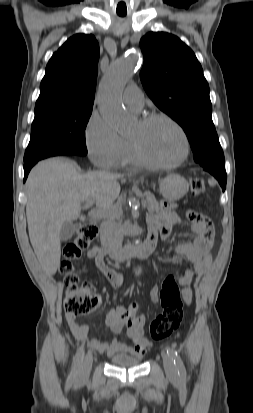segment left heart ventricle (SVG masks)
I'll return each instance as SVG.
<instances>
[{
	"instance_id": "obj_1",
	"label": "left heart ventricle",
	"mask_w": 253,
	"mask_h": 413,
	"mask_svg": "<svg viewBox=\"0 0 253 413\" xmlns=\"http://www.w3.org/2000/svg\"><path fill=\"white\" fill-rule=\"evenodd\" d=\"M131 138L139 142L150 159L160 163L176 161L183 151L180 134L164 120H157L146 126L138 123Z\"/></svg>"
}]
</instances>
